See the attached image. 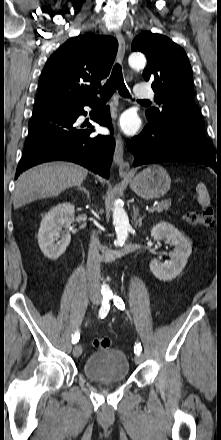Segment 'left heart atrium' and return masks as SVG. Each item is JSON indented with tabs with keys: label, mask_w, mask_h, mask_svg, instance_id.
<instances>
[{
	"label": "left heart atrium",
	"mask_w": 221,
	"mask_h": 440,
	"mask_svg": "<svg viewBox=\"0 0 221 440\" xmlns=\"http://www.w3.org/2000/svg\"><path fill=\"white\" fill-rule=\"evenodd\" d=\"M120 126L126 133H134L138 128V122L132 113H126L121 117Z\"/></svg>",
	"instance_id": "39dd6f15"
}]
</instances>
